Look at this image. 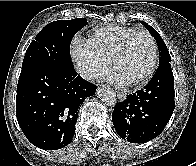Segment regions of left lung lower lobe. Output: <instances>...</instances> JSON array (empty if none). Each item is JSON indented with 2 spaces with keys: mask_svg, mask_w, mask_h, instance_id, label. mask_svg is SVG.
Returning <instances> with one entry per match:
<instances>
[{
  "mask_svg": "<svg viewBox=\"0 0 196 166\" xmlns=\"http://www.w3.org/2000/svg\"><path fill=\"white\" fill-rule=\"evenodd\" d=\"M171 64L159 65L150 82L115 105L112 121L121 138L143 143L157 137L174 111Z\"/></svg>",
  "mask_w": 196,
  "mask_h": 166,
  "instance_id": "obj_1",
  "label": "left lung lower lobe"
}]
</instances>
